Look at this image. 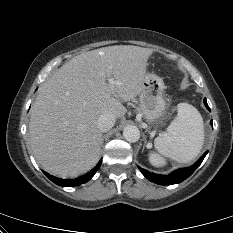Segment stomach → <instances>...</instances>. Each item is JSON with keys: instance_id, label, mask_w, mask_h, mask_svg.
<instances>
[{"instance_id": "obj_1", "label": "stomach", "mask_w": 233, "mask_h": 233, "mask_svg": "<svg viewBox=\"0 0 233 233\" xmlns=\"http://www.w3.org/2000/svg\"><path fill=\"white\" fill-rule=\"evenodd\" d=\"M139 110L149 124L161 122L166 112L165 84L159 76L146 73L139 94Z\"/></svg>"}]
</instances>
